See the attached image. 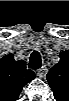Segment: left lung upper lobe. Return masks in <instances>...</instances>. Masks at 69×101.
<instances>
[{
  "label": "left lung upper lobe",
  "mask_w": 69,
  "mask_h": 101,
  "mask_svg": "<svg viewBox=\"0 0 69 101\" xmlns=\"http://www.w3.org/2000/svg\"><path fill=\"white\" fill-rule=\"evenodd\" d=\"M68 73V64L62 59L50 69L47 74V80L53 92H55L58 87H61L67 81V78L69 77Z\"/></svg>",
  "instance_id": "obj_1"
}]
</instances>
